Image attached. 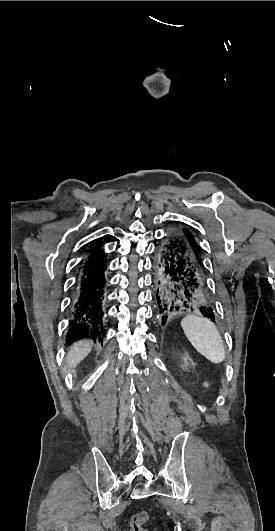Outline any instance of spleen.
Segmentation results:
<instances>
[{
  "label": "spleen",
  "instance_id": "spleen-1",
  "mask_svg": "<svg viewBox=\"0 0 275 531\" xmlns=\"http://www.w3.org/2000/svg\"><path fill=\"white\" fill-rule=\"evenodd\" d=\"M181 327L194 349L208 361L211 363L224 361L223 341L216 325L210 319L199 315H186L181 321Z\"/></svg>",
  "mask_w": 275,
  "mask_h": 531
}]
</instances>
